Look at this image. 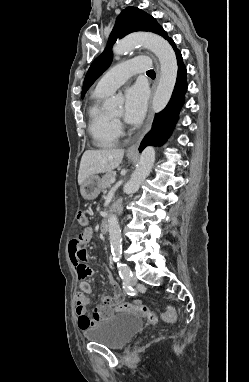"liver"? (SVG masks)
<instances>
[{"mask_svg": "<svg viewBox=\"0 0 249 382\" xmlns=\"http://www.w3.org/2000/svg\"><path fill=\"white\" fill-rule=\"evenodd\" d=\"M124 156L123 149L87 150L84 152L78 172V184L81 186L91 175L110 172L117 168Z\"/></svg>", "mask_w": 249, "mask_h": 382, "instance_id": "6515ba94", "label": "liver"}]
</instances>
